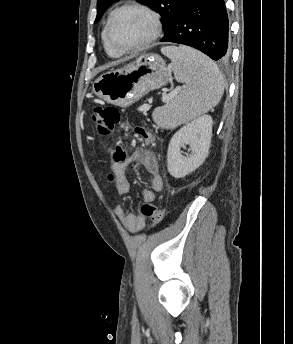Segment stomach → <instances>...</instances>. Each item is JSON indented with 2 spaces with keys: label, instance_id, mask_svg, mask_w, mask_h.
<instances>
[{
  "label": "stomach",
  "instance_id": "stomach-1",
  "mask_svg": "<svg viewBox=\"0 0 293 344\" xmlns=\"http://www.w3.org/2000/svg\"><path fill=\"white\" fill-rule=\"evenodd\" d=\"M170 79V69L155 54H144L127 66L102 74L93 84L94 93L104 101L128 107Z\"/></svg>",
  "mask_w": 293,
  "mask_h": 344
}]
</instances>
